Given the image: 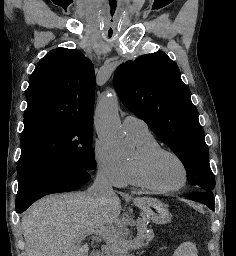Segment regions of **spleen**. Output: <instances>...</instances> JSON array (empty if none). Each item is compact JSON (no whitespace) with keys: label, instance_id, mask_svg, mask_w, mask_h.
Returning <instances> with one entry per match:
<instances>
[{"label":"spleen","instance_id":"obj_1","mask_svg":"<svg viewBox=\"0 0 236 256\" xmlns=\"http://www.w3.org/2000/svg\"><path fill=\"white\" fill-rule=\"evenodd\" d=\"M174 256H198L197 248L192 242H183V244L177 248Z\"/></svg>","mask_w":236,"mask_h":256}]
</instances>
